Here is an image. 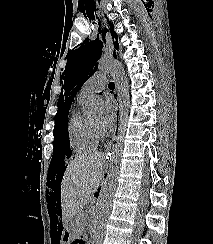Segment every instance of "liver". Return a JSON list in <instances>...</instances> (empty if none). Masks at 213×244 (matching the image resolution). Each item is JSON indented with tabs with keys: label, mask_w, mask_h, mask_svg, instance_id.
Instances as JSON below:
<instances>
[{
	"label": "liver",
	"mask_w": 213,
	"mask_h": 244,
	"mask_svg": "<svg viewBox=\"0 0 213 244\" xmlns=\"http://www.w3.org/2000/svg\"><path fill=\"white\" fill-rule=\"evenodd\" d=\"M104 162V155L94 152L80 154L68 164L61 183V206L63 222L69 231L73 216L99 186Z\"/></svg>",
	"instance_id": "1"
}]
</instances>
